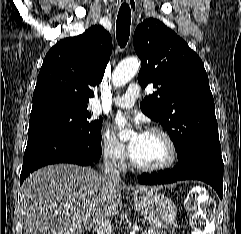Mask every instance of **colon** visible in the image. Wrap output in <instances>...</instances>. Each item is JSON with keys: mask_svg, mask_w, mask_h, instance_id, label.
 I'll list each match as a JSON object with an SVG mask.
<instances>
[{"mask_svg": "<svg viewBox=\"0 0 241 234\" xmlns=\"http://www.w3.org/2000/svg\"><path fill=\"white\" fill-rule=\"evenodd\" d=\"M186 206L194 212L192 218L193 234H208L209 217L213 212V203L202 188L189 193Z\"/></svg>", "mask_w": 241, "mask_h": 234, "instance_id": "5ec220e1", "label": "colon"}]
</instances>
